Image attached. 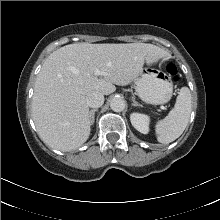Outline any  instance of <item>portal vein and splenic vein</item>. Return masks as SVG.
Listing matches in <instances>:
<instances>
[{
	"label": "portal vein and splenic vein",
	"instance_id": "obj_1",
	"mask_svg": "<svg viewBox=\"0 0 220 220\" xmlns=\"http://www.w3.org/2000/svg\"><path fill=\"white\" fill-rule=\"evenodd\" d=\"M95 74H96V75H101V72H100L99 70H96V71H95ZM161 108L164 109L163 106H161Z\"/></svg>",
	"mask_w": 220,
	"mask_h": 220
}]
</instances>
